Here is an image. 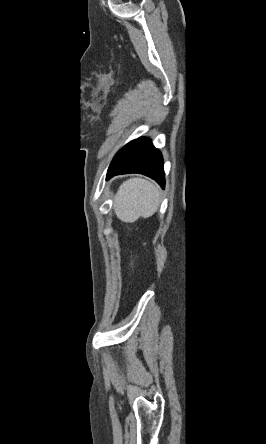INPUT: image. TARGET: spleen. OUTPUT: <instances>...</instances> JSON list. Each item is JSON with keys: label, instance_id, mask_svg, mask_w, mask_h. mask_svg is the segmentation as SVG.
<instances>
[{"label": "spleen", "instance_id": "obj_1", "mask_svg": "<svg viewBox=\"0 0 266 444\" xmlns=\"http://www.w3.org/2000/svg\"><path fill=\"white\" fill-rule=\"evenodd\" d=\"M160 205L158 186L147 179L131 178L119 187L114 210L123 222H134L139 217L148 218Z\"/></svg>", "mask_w": 266, "mask_h": 444}]
</instances>
